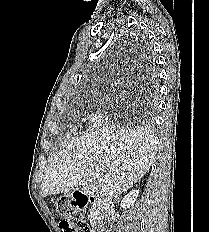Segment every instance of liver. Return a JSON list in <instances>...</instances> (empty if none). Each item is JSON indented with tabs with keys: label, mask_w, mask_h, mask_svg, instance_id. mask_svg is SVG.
Returning a JSON list of instances; mask_svg holds the SVG:
<instances>
[{
	"label": "liver",
	"mask_w": 209,
	"mask_h": 232,
	"mask_svg": "<svg viewBox=\"0 0 209 232\" xmlns=\"http://www.w3.org/2000/svg\"><path fill=\"white\" fill-rule=\"evenodd\" d=\"M153 159V138L145 129L104 127L74 139L54 157L41 196L80 190L112 199L139 181Z\"/></svg>",
	"instance_id": "obj_1"
}]
</instances>
